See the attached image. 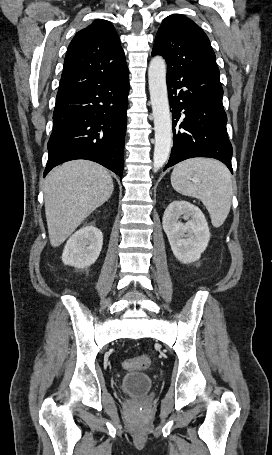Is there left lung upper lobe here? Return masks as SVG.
<instances>
[{
  "mask_svg": "<svg viewBox=\"0 0 272 455\" xmlns=\"http://www.w3.org/2000/svg\"><path fill=\"white\" fill-rule=\"evenodd\" d=\"M162 55L167 72L193 70L219 75L214 51L204 31L189 18L173 14L162 22L152 55Z\"/></svg>",
  "mask_w": 272,
  "mask_h": 455,
  "instance_id": "left-lung-upper-lobe-1",
  "label": "left lung upper lobe"
}]
</instances>
